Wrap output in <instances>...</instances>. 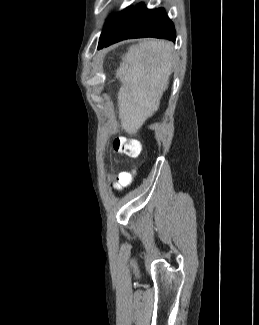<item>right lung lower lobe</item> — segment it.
Wrapping results in <instances>:
<instances>
[{
    "label": "right lung lower lobe",
    "instance_id": "1",
    "mask_svg": "<svg viewBox=\"0 0 259 325\" xmlns=\"http://www.w3.org/2000/svg\"><path fill=\"white\" fill-rule=\"evenodd\" d=\"M155 37L175 41L176 32L163 8L149 10L143 4L130 7L108 39L99 43L98 48L107 47L118 41Z\"/></svg>",
    "mask_w": 259,
    "mask_h": 325
}]
</instances>
